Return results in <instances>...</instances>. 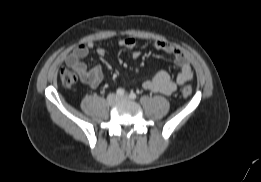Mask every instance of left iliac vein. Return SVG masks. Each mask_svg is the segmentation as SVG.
Instances as JSON below:
<instances>
[{
    "label": "left iliac vein",
    "mask_w": 261,
    "mask_h": 182,
    "mask_svg": "<svg viewBox=\"0 0 261 182\" xmlns=\"http://www.w3.org/2000/svg\"><path fill=\"white\" fill-rule=\"evenodd\" d=\"M128 98H129L128 95H124V96H122V97H119L118 100H126V99H128Z\"/></svg>",
    "instance_id": "obj_1"
}]
</instances>
